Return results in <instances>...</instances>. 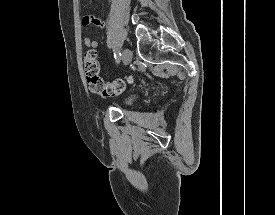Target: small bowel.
Instances as JSON below:
<instances>
[{"instance_id":"small-bowel-1","label":"small bowel","mask_w":275,"mask_h":215,"mask_svg":"<svg viewBox=\"0 0 275 215\" xmlns=\"http://www.w3.org/2000/svg\"><path fill=\"white\" fill-rule=\"evenodd\" d=\"M82 23L85 26L93 25V26L101 27V28H104L106 25V23L103 20H100L94 16L84 17ZM84 45L87 48L95 49L98 46V41L91 39L89 36H86V37H84Z\"/></svg>"}]
</instances>
